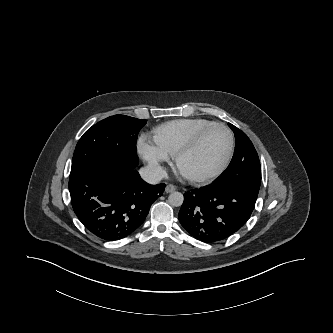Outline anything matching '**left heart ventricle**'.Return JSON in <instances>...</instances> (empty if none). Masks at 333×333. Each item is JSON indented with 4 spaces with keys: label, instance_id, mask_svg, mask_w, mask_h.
Wrapping results in <instances>:
<instances>
[{
    "label": "left heart ventricle",
    "instance_id": "b2bd125f",
    "mask_svg": "<svg viewBox=\"0 0 333 333\" xmlns=\"http://www.w3.org/2000/svg\"><path fill=\"white\" fill-rule=\"evenodd\" d=\"M229 139L221 128L212 129L189 154L179 162V169L188 175H207L214 172L224 161Z\"/></svg>",
    "mask_w": 333,
    "mask_h": 333
}]
</instances>
